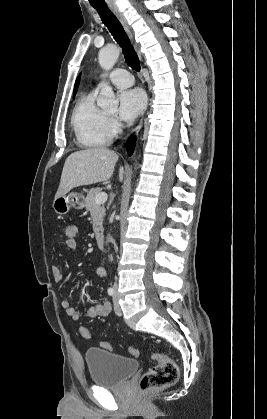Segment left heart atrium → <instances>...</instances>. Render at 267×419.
I'll return each instance as SVG.
<instances>
[{"mask_svg":"<svg viewBox=\"0 0 267 419\" xmlns=\"http://www.w3.org/2000/svg\"><path fill=\"white\" fill-rule=\"evenodd\" d=\"M146 99L139 89H128L119 95V117L124 121H133L143 111Z\"/></svg>","mask_w":267,"mask_h":419,"instance_id":"obj_1","label":"left heart atrium"}]
</instances>
